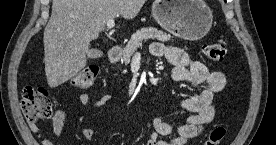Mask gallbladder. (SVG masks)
Masks as SVG:
<instances>
[{
  "mask_svg": "<svg viewBox=\"0 0 276 145\" xmlns=\"http://www.w3.org/2000/svg\"><path fill=\"white\" fill-rule=\"evenodd\" d=\"M98 56H99V51L97 49H91L88 52V58H90V59L98 58Z\"/></svg>",
  "mask_w": 276,
  "mask_h": 145,
  "instance_id": "obj_1",
  "label": "gallbladder"
}]
</instances>
